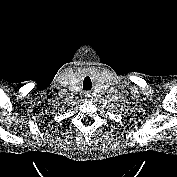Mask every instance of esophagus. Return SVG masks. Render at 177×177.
Returning <instances> with one entry per match:
<instances>
[{
  "instance_id": "1",
  "label": "esophagus",
  "mask_w": 177,
  "mask_h": 177,
  "mask_svg": "<svg viewBox=\"0 0 177 177\" xmlns=\"http://www.w3.org/2000/svg\"><path fill=\"white\" fill-rule=\"evenodd\" d=\"M84 96H85V99H86V100H89V99L91 98V93H90L89 91H86V92L84 93Z\"/></svg>"
}]
</instances>
